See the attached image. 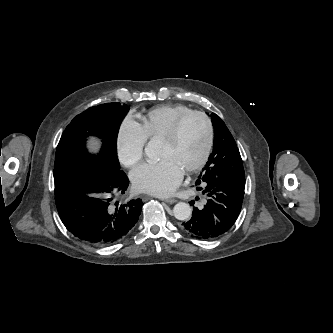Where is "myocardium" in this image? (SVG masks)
<instances>
[{
	"label": "myocardium",
	"mask_w": 333,
	"mask_h": 333,
	"mask_svg": "<svg viewBox=\"0 0 333 333\" xmlns=\"http://www.w3.org/2000/svg\"><path fill=\"white\" fill-rule=\"evenodd\" d=\"M192 117H199L205 122L206 127H207V142H206V146H205V149H204V152H203L201 158L195 164H193L192 166L185 169V172L187 174H191V173H194V172L200 170L201 168H203L205 166V164L209 160V157L211 155V152H212V149L214 146V140H215V131H214V126H213L211 118L205 112L192 110V111L180 116L172 124V126L170 127L168 132L162 138L163 141L168 142V143L175 142L179 136V133H180V130H181L183 124Z\"/></svg>",
	"instance_id": "myocardium-1"
}]
</instances>
